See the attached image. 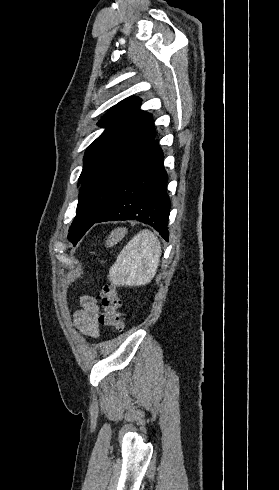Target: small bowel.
<instances>
[{"instance_id":"1","label":"small bowel","mask_w":279,"mask_h":490,"mask_svg":"<svg viewBox=\"0 0 279 490\" xmlns=\"http://www.w3.org/2000/svg\"><path fill=\"white\" fill-rule=\"evenodd\" d=\"M80 309L74 313V324L85 336L97 338L100 334L98 324L99 306L92 296H82L79 299Z\"/></svg>"}]
</instances>
